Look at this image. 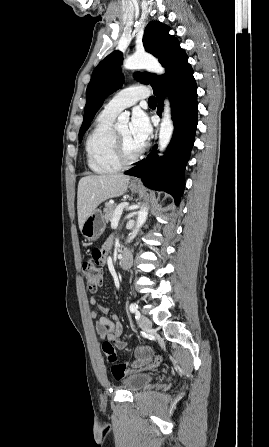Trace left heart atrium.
Here are the masks:
<instances>
[{"mask_svg": "<svg viewBox=\"0 0 269 447\" xmlns=\"http://www.w3.org/2000/svg\"><path fill=\"white\" fill-rule=\"evenodd\" d=\"M130 131L132 137L141 144H144L150 137L152 131L151 125L146 114L141 110H135L133 112Z\"/></svg>", "mask_w": 269, "mask_h": 447, "instance_id": "obj_1", "label": "left heart atrium"}]
</instances>
